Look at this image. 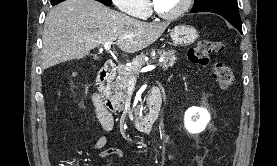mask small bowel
Here are the masks:
<instances>
[{
    "mask_svg": "<svg viewBox=\"0 0 277 166\" xmlns=\"http://www.w3.org/2000/svg\"><path fill=\"white\" fill-rule=\"evenodd\" d=\"M93 102H94V105L96 107L98 120L101 123L103 129L105 131H111L114 127V121L113 120H107V119H105L101 116V114L98 111L97 102H96V98H95L94 95H93ZM106 144H107V137L106 136H101L95 142H93L91 144V148L94 149V150H101L106 146ZM121 155H122L121 150L116 148V147H110V148L103 149L99 153V157H101V158L120 157Z\"/></svg>",
    "mask_w": 277,
    "mask_h": 166,
    "instance_id": "1",
    "label": "small bowel"
}]
</instances>
